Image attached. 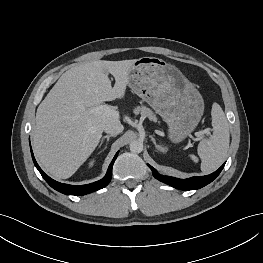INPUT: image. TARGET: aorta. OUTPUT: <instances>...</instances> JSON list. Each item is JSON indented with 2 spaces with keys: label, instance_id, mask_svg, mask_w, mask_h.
Returning <instances> with one entry per match:
<instances>
[{
  "label": "aorta",
  "instance_id": "aorta-1",
  "mask_svg": "<svg viewBox=\"0 0 263 263\" xmlns=\"http://www.w3.org/2000/svg\"><path fill=\"white\" fill-rule=\"evenodd\" d=\"M143 150V143L141 141H133L130 143V151L132 153H141Z\"/></svg>",
  "mask_w": 263,
  "mask_h": 263
}]
</instances>
